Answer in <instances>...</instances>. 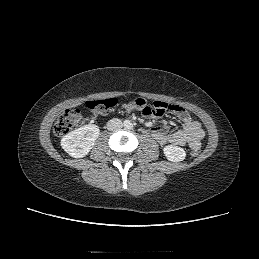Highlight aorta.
<instances>
[{"label": "aorta", "instance_id": "762f6f07", "mask_svg": "<svg viewBox=\"0 0 259 259\" xmlns=\"http://www.w3.org/2000/svg\"><path fill=\"white\" fill-rule=\"evenodd\" d=\"M125 127L128 128V129H130L132 127V124L130 123V121H127L125 123Z\"/></svg>", "mask_w": 259, "mask_h": 259}]
</instances>
